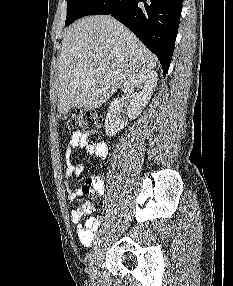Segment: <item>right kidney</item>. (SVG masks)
<instances>
[{"label": "right kidney", "instance_id": "1", "mask_svg": "<svg viewBox=\"0 0 233 286\" xmlns=\"http://www.w3.org/2000/svg\"><path fill=\"white\" fill-rule=\"evenodd\" d=\"M157 81L158 75L155 71L145 70L134 74L124 82L122 91L129 101V120L135 119L148 104L156 88ZM120 107V99L118 98L113 99L110 103L105 120L107 136H115L124 126H127L128 121L119 116Z\"/></svg>", "mask_w": 233, "mask_h": 286}]
</instances>
